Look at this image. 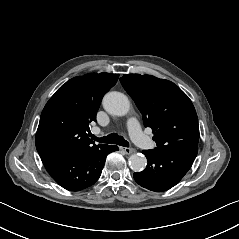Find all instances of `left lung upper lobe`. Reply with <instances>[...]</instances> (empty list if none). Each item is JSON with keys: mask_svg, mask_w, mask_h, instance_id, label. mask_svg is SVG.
Here are the masks:
<instances>
[{"mask_svg": "<svg viewBox=\"0 0 239 239\" xmlns=\"http://www.w3.org/2000/svg\"><path fill=\"white\" fill-rule=\"evenodd\" d=\"M120 82L154 133L160 151H198L199 125L188 96L174 83L150 75L125 74Z\"/></svg>", "mask_w": 239, "mask_h": 239, "instance_id": "5c2ea615", "label": "left lung upper lobe"}]
</instances>
